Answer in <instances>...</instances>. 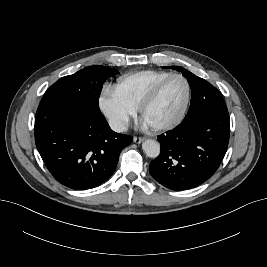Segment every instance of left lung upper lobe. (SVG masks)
Returning a JSON list of instances; mask_svg holds the SVG:
<instances>
[{
  "label": "left lung upper lobe",
  "instance_id": "5c2ea615",
  "mask_svg": "<svg viewBox=\"0 0 267 267\" xmlns=\"http://www.w3.org/2000/svg\"><path fill=\"white\" fill-rule=\"evenodd\" d=\"M165 68L176 69L182 72V75L187 78L192 89L191 104L201 101L204 98L210 102L211 110L214 113H219L227 110V106L220 92L206 80L197 77L188 70L179 66H167Z\"/></svg>",
  "mask_w": 267,
  "mask_h": 267
}]
</instances>
